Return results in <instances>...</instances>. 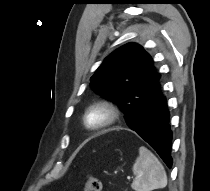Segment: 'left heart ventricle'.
<instances>
[{
    "label": "left heart ventricle",
    "instance_id": "1",
    "mask_svg": "<svg viewBox=\"0 0 210 191\" xmlns=\"http://www.w3.org/2000/svg\"><path fill=\"white\" fill-rule=\"evenodd\" d=\"M106 117L107 115L103 110H100V109L94 110L89 114L87 118V124L89 126H97L103 123Z\"/></svg>",
    "mask_w": 210,
    "mask_h": 191
}]
</instances>
